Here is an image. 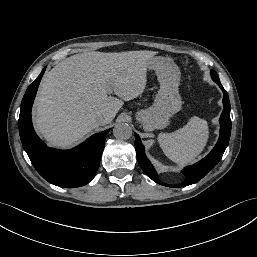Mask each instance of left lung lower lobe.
<instances>
[{
	"label": "left lung lower lobe",
	"mask_w": 257,
	"mask_h": 257,
	"mask_svg": "<svg viewBox=\"0 0 257 257\" xmlns=\"http://www.w3.org/2000/svg\"><path fill=\"white\" fill-rule=\"evenodd\" d=\"M223 91V105L224 109L220 117V137L214 149L198 163L186 167L182 172L185 174L186 179L184 182L177 185H169L161 182L157 176L156 171L147 159L144 153V147L141 143L138 134H135V149L137 153V160L143 171L156 183L167 187H184L198 182L203 178L222 158V155L228 145L231 133V120H230V102L229 97L221 83L218 84Z\"/></svg>",
	"instance_id": "0a47b994"
}]
</instances>
